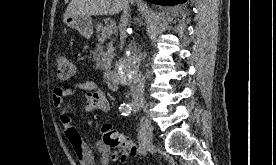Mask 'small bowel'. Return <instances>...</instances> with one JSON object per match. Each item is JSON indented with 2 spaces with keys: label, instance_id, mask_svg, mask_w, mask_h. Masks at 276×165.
<instances>
[{
  "label": "small bowel",
  "instance_id": "small-bowel-1",
  "mask_svg": "<svg viewBox=\"0 0 276 165\" xmlns=\"http://www.w3.org/2000/svg\"><path fill=\"white\" fill-rule=\"evenodd\" d=\"M83 91L88 99L86 109L89 112L107 113L110 110L109 102L99 84L91 79L76 82L69 87H56L52 93V102L59 112V122L63 135L71 146L81 165H98L96 153L100 156L101 165L124 164L128 154L121 150H112L102 140L96 141L92 146L82 140L77 129L72 125V106L67 99Z\"/></svg>",
  "mask_w": 276,
  "mask_h": 165
}]
</instances>
